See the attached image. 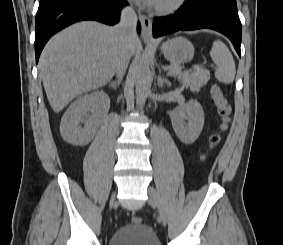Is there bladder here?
I'll return each instance as SVG.
<instances>
[{"instance_id": "bladder-1", "label": "bladder", "mask_w": 283, "mask_h": 245, "mask_svg": "<svg viewBox=\"0 0 283 245\" xmlns=\"http://www.w3.org/2000/svg\"><path fill=\"white\" fill-rule=\"evenodd\" d=\"M108 245H161L154 230L146 224H127L110 236Z\"/></svg>"}]
</instances>
